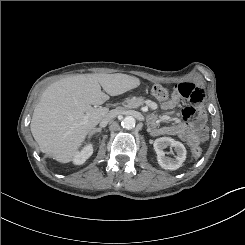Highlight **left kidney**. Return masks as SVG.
Here are the masks:
<instances>
[{"instance_id": "left-kidney-1", "label": "left kidney", "mask_w": 245, "mask_h": 245, "mask_svg": "<svg viewBox=\"0 0 245 245\" xmlns=\"http://www.w3.org/2000/svg\"><path fill=\"white\" fill-rule=\"evenodd\" d=\"M153 146L157 154L158 164L165 170H177L186 160L187 152L185 146L171 137H160L154 141ZM168 146L176 149L177 156L175 158L165 156V152L163 150Z\"/></svg>"}]
</instances>
